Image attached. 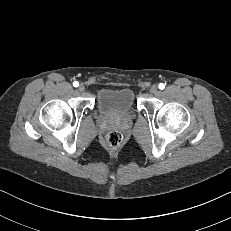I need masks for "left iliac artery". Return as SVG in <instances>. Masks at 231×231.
Listing matches in <instances>:
<instances>
[{
    "label": "left iliac artery",
    "mask_w": 231,
    "mask_h": 231,
    "mask_svg": "<svg viewBox=\"0 0 231 231\" xmlns=\"http://www.w3.org/2000/svg\"><path fill=\"white\" fill-rule=\"evenodd\" d=\"M164 88H165V85H164L163 83H160V84H159V89L162 90V89H164Z\"/></svg>",
    "instance_id": "obj_1"
}]
</instances>
